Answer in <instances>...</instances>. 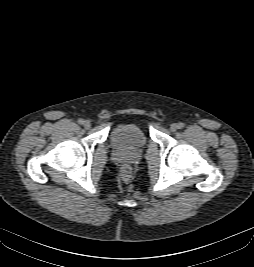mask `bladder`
<instances>
[{
  "label": "bladder",
  "mask_w": 254,
  "mask_h": 267,
  "mask_svg": "<svg viewBox=\"0 0 254 267\" xmlns=\"http://www.w3.org/2000/svg\"><path fill=\"white\" fill-rule=\"evenodd\" d=\"M111 144L122 151H136L147 144L143 129L135 123L117 125L110 133Z\"/></svg>",
  "instance_id": "obj_1"
}]
</instances>
